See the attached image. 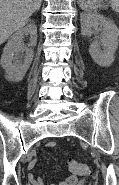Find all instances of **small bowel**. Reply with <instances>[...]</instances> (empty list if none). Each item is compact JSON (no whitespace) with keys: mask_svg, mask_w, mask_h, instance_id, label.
<instances>
[{"mask_svg":"<svg viewBox=\"0 0 119 185\" xmlns=\"http://www.w3.org/2000/svg\"><path fill=\"white\" fill-rule=\"evenodd\" d=\"M47 146L49 148H54L56 146V144L54 142H49L47 144ZM36 162L37 161L30 162L28 168L33 169L34 166L36 165ZM29 180L32 185H44L43 180L34 173L29 174ZM76 182H77V178L75 176L71 175V176H68L65 180H62L58 185H75ZM52 185H54V184H52Z\"/></svg>","mask_w":119,"mask_h":185,"instance_id":"obj_1","label":"small bowel"}]
</instances>
